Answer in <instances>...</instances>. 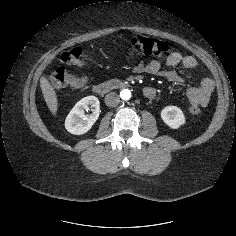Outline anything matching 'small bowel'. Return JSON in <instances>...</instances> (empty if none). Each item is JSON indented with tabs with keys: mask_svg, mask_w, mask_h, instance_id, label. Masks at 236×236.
<instances>
[{
	"mask_svg": "<svg viewBox=\"0 0 236 236\" xmlns=\"http://www.w3.org/2000/svg\"><path fill=\"white\" fill-rule=\"evenodd\" d=\"M181 66L185 69H196L198 61L192 56H183L180 52L174 51L170 53L164 65L158 60L153 59L149 62L140 61L133 65V71L137 73H148L159 76L175 83L184 82V78L171 68ZM214 90V82L210 78H203L197 86H192L187 89V98L192 106L205 107L210 101L211 94ZM146 92H152V95H147L148 98H153L156 95V90L153 87L145 88Z\"/></svg>",
	"mask_w": 236,
	"mask_h": 236,
	"instance_id": "1",
	"label": "small bowel"
}]
</instances>
